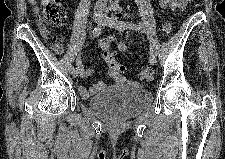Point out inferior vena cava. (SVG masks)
<instances>
[{"mask_svg": "<svg viewBox=\"0 0 225 159\" xmlns=\"http://www.w3.org/2000/svg\"><path fill=\"white\" fill-rule=\"evenodd\" d=\"M96 5L97 6H106L107 5V1L106 0H97L96 1Z\"/></svg>", "mask_w": 225, "mask_h": 159, "instance_id": "obj_1", "label": "inferior vena cava"}]
</instances>
